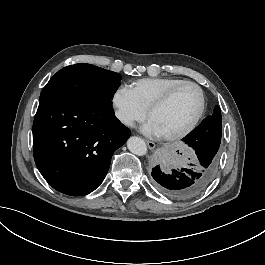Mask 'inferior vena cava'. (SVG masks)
Returning a JSON list of instances; mask_svg holds the SVG:
<instances>
[{
  "mask_svg": "<svg viewBox=\"0 0 265 265\" xmlns=\"http://www.w3.org/2000/svg\"><path fill=\"white\" fill-rule=\"evenodd\" d=\"M123 123H124V124H129V120L124 119V120H123Z\"/></svg>",
  "mask_w": 265,
  "mask_h": 265,
  "instance_id": "inferior-vena-cava-1",
  "label": "inferior vena cava"
}]
</instances>
